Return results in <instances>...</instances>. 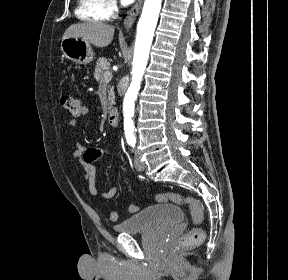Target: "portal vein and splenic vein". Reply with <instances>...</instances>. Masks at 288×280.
I'll return each mask as SVG.
<instances>
[{
  "label": "portal vein and splenic vein",
  "mask_w": 288,
  "mask_h": 280,
  "mask_svg": "<svg viewBox=\"0 0 288 280\" xmlns=\"http://www.w3.org/2000/svg\"><path fill=\"white\" fill-rule=\"evenodd\" d=\"M104 78H105L106 81L111 80V78H112V73L109 72V71H107V72L104 74Z\"/></svg>",
  "instance_id": "obj_1"
}]
</instances>
